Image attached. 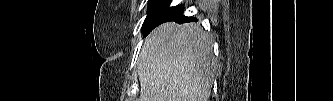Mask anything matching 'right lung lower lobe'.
I'll list each match as a JSON object with an SVG mask.
<instances>
[{
	"instance_id": "1",
	"label": "right lung lower lobe",
	"mask_w": 333,
	"mask_h": 101,
	"mask_svg": "<svg viewBox=\"0 0 333 101\" xmlns=\"http://www.w3.org/2000/svg\"><path fill=\"white\" fill-rule=\"evenodd\" d=\"M170 3L171 0H154L153 3L149 4L147 17L142 26L143 34L147 35L153 28L164 22L175 21L183 23L197 20L196 18L183 15V5L169 7Z\"/></svg>"
}]
</instances>
